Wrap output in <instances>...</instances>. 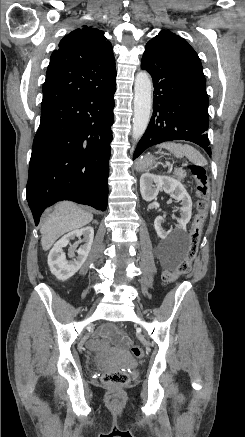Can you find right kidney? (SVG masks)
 Wrapping results in <instances>:
<instances>
[{
    "instance_id": "obj_1",
    "label": "right kidney",
    "mask_w": 245,
    "mask_h": 437,
    "mask_svg": "<svg viewBox=\"0 0 245 437\" xmlns=\"http://www.w3.org/2000/svg\"><path fill=\"white\" fill-rule=\"evenodd\" d=\"M81 236H83L84 244L77 251L76 245L69 249L68 256L73 260L68 261L63 253V248L70 243V240L75 239V237L80 238ZM93 238L94 229L91 226L76 229L64 235L54 244L53 248L49 252L48 265L51 273L55 275L57 279L62 281L72 277L86 261L91 250ZM75 251L78 254L77 256H75Z\"/></svg>"
}]
</instances>
